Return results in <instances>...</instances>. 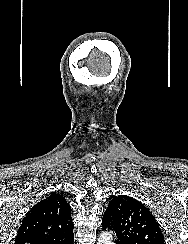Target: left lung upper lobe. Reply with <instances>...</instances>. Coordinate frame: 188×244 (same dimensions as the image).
Listing matches in <instances>:
<instances>
[{
	"label": "left lung upper lobe",
	"mask_w": 188,
	"mask_h": 244,
	"mask_svg": "<svg viewBox=\"0 0 188 244\" xmlns=\"http://www.w3.org/2000/svg\"><path fill=\"white\" fill-rule=\"evenodd\" d=\"M103 218L109 221L118 244H164L155 217L141 202L130 196L114 197Z\"/></svg>",
	"instance_id": "left-lung-upper-lobe-1"
}]
</instances>
